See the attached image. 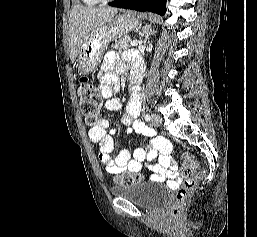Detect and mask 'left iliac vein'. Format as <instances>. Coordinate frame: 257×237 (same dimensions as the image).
Wrapping results in <instances>:
<instances>
[{
    "mask_svg": "<svg viewBox=\"0 0 257 237\" xmlns=\"http://www.w3.org/2000/svg\"><path fill=\"white\" fill-rule=\"evenodd\" d=\"M151 123H152V126L159 127L162 123V119L159 115L153 114L151 117Z\"/></svg>",
    "mask_w": 257,
    "mask_h": 237,
    "instance_id": "4c4485c4",
    "label": "left iliac vein"
}]
</instances>
